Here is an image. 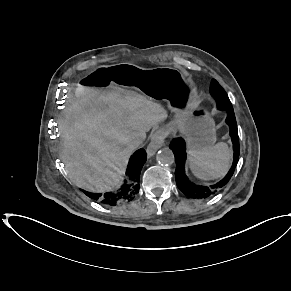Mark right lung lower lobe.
Wrapping results in <instances>:
<instances>
[{"label":"right lung lower lobe","instance_id":"98d812e1","mask_svg":"<svg viewBox=\"0 0 291 291\" xmlns=\"http://www.w3.org/2000/svg\"><path fill=\"white\" fill-rule=\"evenodd\" d=\"M147 154L144 149L137 150L131 157L126 170V179L122 186L113 192L104 194L84 193L106 206H116L124 202H129L134 199L135 195L139 192V180L141 169L146 162Z\"/></svg>","mask_w":291,"mask_h":291}]
</instances>
